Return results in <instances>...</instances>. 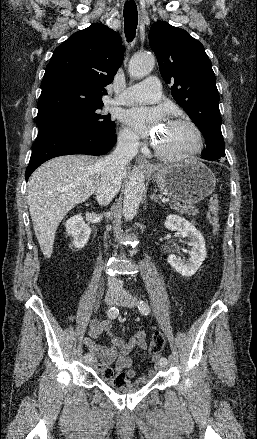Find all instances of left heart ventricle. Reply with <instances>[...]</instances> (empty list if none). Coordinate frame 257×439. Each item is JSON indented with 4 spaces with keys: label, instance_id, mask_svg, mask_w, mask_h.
Returning <instances> with one entry per match:
<instances>
[{
    "label": "left heart ventricle",
    "instance_id": "left-heart-ventricle-1",
    "mask_svg": "<svg viewBox=\"0 0 257 439\" xmlns=\"http://www.w3.org/2000/svg\"><path fill=\"white\" fill-rule=\"evenodd\" d=\"M157 145L168 153H184L193 149L196 141L190 127L166 124L160 133Z\"/></svg>",
    "mask_w": 257,
    "mask_h": 439
}]
</instances>
